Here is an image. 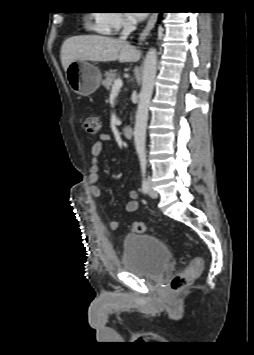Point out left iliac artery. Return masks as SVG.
Segmentation results:
<instances>
[{
	"mask_svg": "<svg viewBox=\"0 0 254 355\" xmlns=\"http://www.w3.org/2000/svg\"><path fill=\"white\" fill-rule=\"evenodd\" d=\"M146 157L145 156H141L140 157V165H141V172H142V176H143V181H142V192L143 193H147L148 189H149V185H148V181L146 179Z\"/></svg>",
	"mask_w": 254,
	"mask_h": 355,
	"instance_id": "44dca946",
	"label": "left iliac artery"
}]
</instances>
